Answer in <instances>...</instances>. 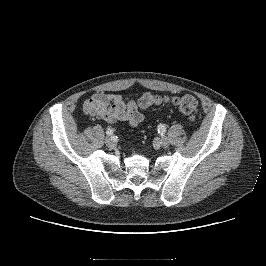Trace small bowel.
<instances>
[{
    "label": "small bowel",
    "mask_w": 266,
    "mask_h": 266,
    "mask_svg": "<svg viewBox=\"0 0 266 266\" xmlns=\"http://www.w3.org/2000/svg\"><path fill=\"white\" fill-rule=\"evenodd\" d=\"M83 111L108 123L126 122L131 127H136L145 119L134 100L116 93L93 94L84 102Z\"/></svg>",
    "instance_id": "obj_1"
}]
</instances>
